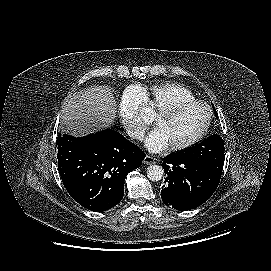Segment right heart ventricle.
<instances>
[{"label":"right heart ventricle","instance_id":"1","mask_svg":"<svg viewBox=\"0 0 271 271\" xmlns=\"http://www.w3.org/2000/svg\"><path fill=\"white\" fill-rule=\"evenodd\" d=\"M145 103L156 111L179 102L195 100L191 91L178 84H160L143 90Z\"/></svg>","mask_w":271,"mask_h":271}]
</instances>
